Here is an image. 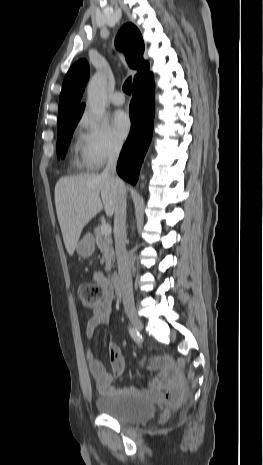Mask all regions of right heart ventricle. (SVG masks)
Returning a JSON list of instances; mask_svg holds the SVG:
<instances>
[{"mask_svg":"<svg viewBox=\"0 0 263 465\" xmlns=\"http://www.w3.org/2000/svg\"><path fill=\"white\" fill-rule=\"evenodd\" d=\"M74 147H75V150L79 149L80 148V143L76 142Z\"/></svg>","mask_w":263,"mask_h":465,"instance_id":"right-heart-ventricle-1","label":"right heart ventricle"}]
</instances>
